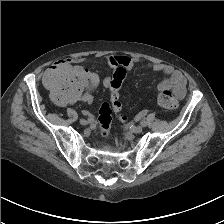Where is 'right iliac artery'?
Returning <instances> with one entry per match:
<instances>
[{
  "instance_id": "1",
  "label": "right iliac artery",
  "mask_w": 224,
  "mask_h": 224,
  "mask_svg": "<svg viewBox=\"0 0 224 224\" xmlns=\"http://www.w3.org/2000/svg\"><path fill=\"white\" fill-rule=\"evenodd\" d=\"M88 122H89V123H93V122H94V118H93V117H89V118H88Z\"/></svg>"
}]
</instances>
